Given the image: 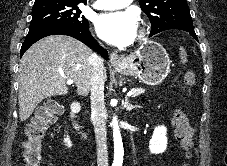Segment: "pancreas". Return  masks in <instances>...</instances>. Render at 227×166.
Here are the masks:
<instances>
[{"label": "pancreas", "instance_id": "pancreas-1", "mask_svg": "<svg viewBox=\"0 0 227 166\" xmlns=\"http://www.w3.org/2000/svg\"><path fill=\"white\" fill-rule=\"evenodd\" d=\"M131 91H134V97L141 95L142 93L145 92V89L143 88H134Z\"/></svg>", "mask_w": 227, "mask_h": 166}]
</instances>
